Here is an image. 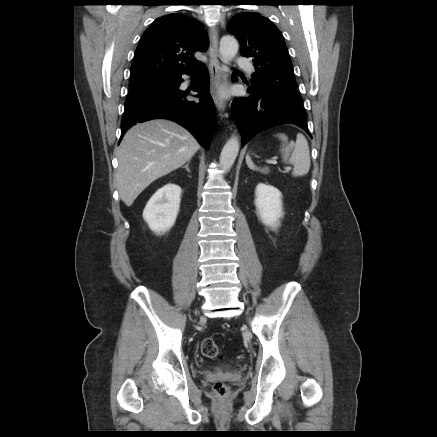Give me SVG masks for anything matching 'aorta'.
<instances>
[{
  "mask_svg": "<svg viewBox=\"0 0 437 437\" xmlns=\"http://www.w3.org/2000/svg\"><path fill=\"white\" fill-rule=\"evenodd\" d=\"M238 42L230 35H225L220 40V57L223 62V74L228 71L227 64H229L238 52ZM226 78V76H223ZM240 148L239 140L236 136H232L224 145L220 154V166L223 170H230L235 162Z\"/></svg>",
  "mask_w": 437,
  "mask_h": 437,
  "instance_id": "1",
  "label": "aorta"
}]
</instances>
